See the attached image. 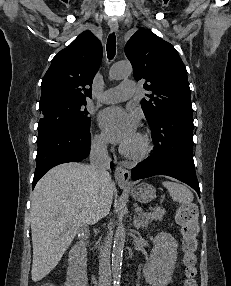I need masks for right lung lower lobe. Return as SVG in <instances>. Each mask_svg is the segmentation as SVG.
Listing matches in <instances>:
<instances>
[{
    "mask_svg": "<svg viewBox=\"0 0 231 286\" xmlns=\"http://www.w3.org/2000/svg\"><path fill=\"white\" fill-rule=\"evenodd\" d=\"M90 139L89 128L74 127L55 129L39 136L33 187L52 167L85 159L90 152Z\"/></svg>",
    "mask_w": 231,
    "mask_h": 286,
    "instance_id": "1",
    "label": "right lung lower lobe"
}]
</instances>
